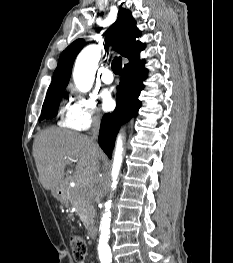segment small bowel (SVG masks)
Instances as JSON below:
<instances>
[{
    "instance_id": "1",
    "label": "small bowel",
    "mask_w": 233,
    "mask_h": 263,
    "mask_svg": "<svg viewBox=\"0 0 233 263\" xmlns=\"http://www.w3.org/2000/svg\"><path fill=\"white\" fill-rule=\"evenodd\" d=\"M87 262H88L87 260H82L79 263H87Z\"/></svg>"
}]
</instances>
